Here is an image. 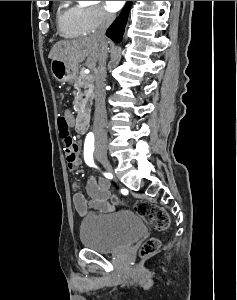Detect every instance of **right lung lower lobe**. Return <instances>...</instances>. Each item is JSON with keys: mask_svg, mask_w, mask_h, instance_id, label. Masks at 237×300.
Returning a JSON list of instances; mask_svg holds the SVG:
<instances>
[{"mask_svg": "<svg viewBox=\"0 0 237 300\" xmlns=\"http://www.w3.org/2000/svg\"><path fill=\"white\" fill-rule=\"evenodd\" d=\"M131 1H128L122 10L120 16L108 28L106 35L115 42H121L124 28L128 19Z\"/></svg>", "mask_w": 237, "mask_h": 300, "instance_id": "obj_1", "label": "right lung lower lobe"}]
</instances>
